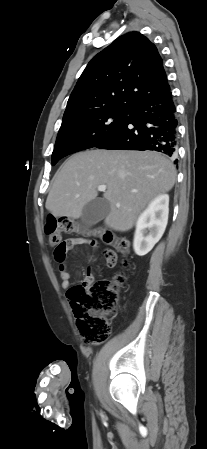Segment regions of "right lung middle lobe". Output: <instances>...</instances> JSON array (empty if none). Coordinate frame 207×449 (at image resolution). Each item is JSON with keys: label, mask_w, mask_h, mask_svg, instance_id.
Instances as JSON below:
<instances>
[{"label": "right lung middle lobe", "mask_w": 207, "mask_h": 449, "mask_svg": "<svg viewBox=\"0 0 207 449\" xmlns=\"http://www.w3.org/2000/svg\"><path fill=\"white\" fill-rule=\"evenodd\" d=\"M131 114V108H107L63 120L52 153V166L69 154L95 147L121 129Z\"/></svg>", "instance_id": "right-lung-middle-lobe-1"}]
</instances>
